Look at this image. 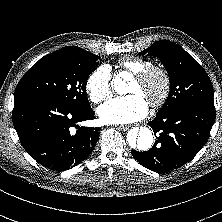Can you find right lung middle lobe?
<instances>
[{
	"mask_svg": "<svg viewBox=\"0 0 222 222\" xmlns=\"http://www.w3.org/2000/svg\"><path fill=\"white\" fill-rule=\"evenodd\" d=\"M99 57L82 48L67 46L41 58L19 81L15 96L36 95L65 105L89 108L88 75Z\"/></svg>",
	"mask_w": 222,
	"mask_h": 222,
	"instance_id": "dd1d6c3e",
	"label": "right lung middle lobe"
}]
</instances>
